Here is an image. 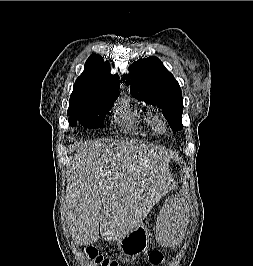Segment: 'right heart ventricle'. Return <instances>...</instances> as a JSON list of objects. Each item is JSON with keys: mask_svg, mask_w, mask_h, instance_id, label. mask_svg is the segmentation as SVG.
<instances>
[{"mask_svg": "<svg viewBox=\"0 0 253 266\" xmlns=\"http://www.w3.org/2000/svg\"><path fill=\"white\" fill-rule=\"evenodd\" d=\"M122 119L129 130H137L138 134L145 135L151 126V120L141 115L137 110H131L125 104L122 108Z\"/></svg>", "mask_w": 253, "mask_h": 266, "instance_id": "e07e8e85", "label": "right heart ventricle"}]
</instances>
